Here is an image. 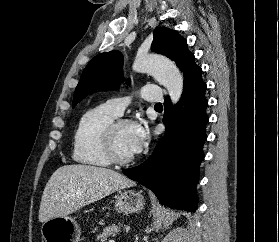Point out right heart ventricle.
Listing matches in <instances>:
<instances>
[{"instance_id":"1","label":"right heart ventricle","mask_w":279,"mask_h":242,"mask_svg":"<svg viewBox=\"0 0 279 242\" xmlns=\"http://www.w3.org/2000/svg\"><path fill=\"white\" fill-rule=\"evenodd\" d=\"M116 118L106 105L89 109L81 116L73 138V159L76 162L94 167L111 164L102 145L101 132Z\"/></svg>"}]
</instances>
